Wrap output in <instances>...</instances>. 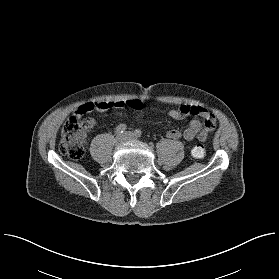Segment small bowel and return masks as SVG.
<instances>
[{
  "mask_svg": "<svg viewBox=\"0 0 279 279\" xmlns=\"http://www.w3.org/2000/svg\"><path fill=\"white\" fill-rule=\"evenodd\" d=\"M125 103L123 101H101L96 103H87L80 106L75 115L81 116L92 110L107 111L113 107H123ZM168 115L174 120H181L190 115H196L200 117L203 122L198 119H192L188 127L181 132L178 129H170L166 135L169 139L177 140L184 138L185 140H193L195 138L204 141L208 138L210 132H212L216 126V119L205 108L201 106L183 105L180 108H171L168 111Z\"/></svg>",
  "mask_w": 279,
  "mask_h": 279,
  "instance_id": "obj_1",
  "label": "small bowel"
}]
</instances>
